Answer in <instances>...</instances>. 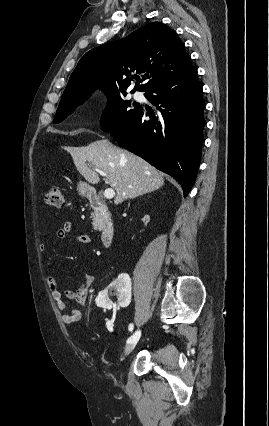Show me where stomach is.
<instances>
[{
    "label": "stomach",
    "instance_id": "0dacf381",
    "mask_svg": "<svg viewBox=\"0 0 269 426\" xmlns=\"http://www.w3.org/2000/svg\"><path fill=\"white\" fill-rule=\"evenodd\" d=\"M77 188L79 193L85 197L90 196L93 192V188L86 182H79Z\"/></svg>",
    "mask_w": 269,
    "mask_h": 426
}]
</instances>
